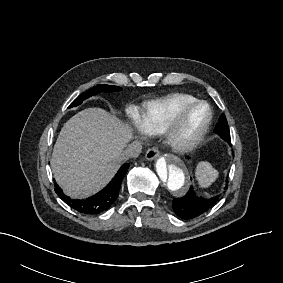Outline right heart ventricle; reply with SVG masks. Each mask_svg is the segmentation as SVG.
Masks as SVG:
<instances>
[{"mask_svg": "<svg viewBox=\"0 0 283 283\" xmlns=\"http://www.w3.org/2000/svg\"><path fill=\"white\" fill-rule=\"evenodd\" d=\"M166 99H174L177 101L176 108L180 109L188 102L198 100L197 97L186 93H176ZM165 100V99H164ZM163 101V100H162ZM162 101H153L146 103L139 109V115L145 127L153 135H159L160 130V116L162 113Z\"/></svg>", "mask_w": 283, "mask_h": 283, "instance_id": "1", "label": "right heart ventricle"}]
</instances>
